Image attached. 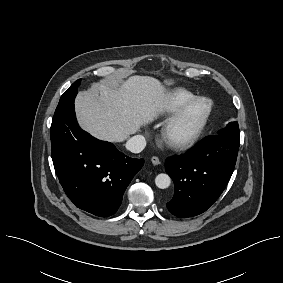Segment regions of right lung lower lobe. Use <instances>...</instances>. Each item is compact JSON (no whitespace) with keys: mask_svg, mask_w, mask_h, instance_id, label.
<instances>
[{"mask_svg":"<svg viewBox=\"0 0 283 283\" xmlns=\"http://www.w3.org/2000/svg\"><path fill=\"white\" fill-rule=\"evenodd\" d=\"M77 88L60 98L51 124V154L58 179L80 209L100 217L113 215L125 189L142 168L143 159L130 158L109 142L80 129L74 99Z\"/></svg>","mask_w":283,"mask_h":283,"instance_id":"obj_1","label":"right lung lower lobe"}]
</instances>
